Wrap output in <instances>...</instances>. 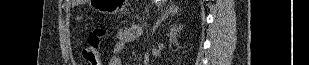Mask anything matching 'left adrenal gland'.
<instances>
[{
  "mask_svg": "<svg viewBox=\"0 0 309 65\" xmlns=\"http://www.w3.org/2000/svg\"><path fill=\"white\" fill-rule=\"evenodd\" d=\"M175 13H177V8L172 6L166 9L165 13L162 15L160 19L157 20L156 24L153 27V32L157 29V27L165 20L167 19L170 15L173 16Z\"/></svg>",
  "mask_w": 309,
  "mask_h": 65,
  "instance_id": "obj_1",
  "label": "left adrenal gland"
}]
</instances>
